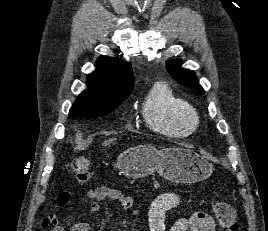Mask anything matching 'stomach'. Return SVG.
I'll list each match as a JSON object with an SVG mask.
<instances>
[{
  "mask_svg": "<svg viewBox=\"0 0 268 231\" xmlns=\"http://www.w3.org/2000/svg\"><path fill=\"white\" fill-rule=\"evenodd\" d=\"M116 167L128 178H143L157 171L164 179L181 184L203 181L213 172V165L191 149L171 147L159 151L147 144L123 151Z\"/></svg>",
  "mask_w": 268,
  "mask_h": 231,
  "instance_id": "obj_1",
  "label": "stomach"
}]
</instances>
